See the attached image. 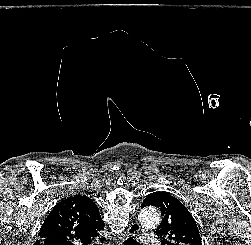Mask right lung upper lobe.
<instances>
[{
  "mask_svg": "<svg viewBox=\"0 0 251 245\" xmlns=\"http://www.w3.org/2000/svg\"><path fill=\"white\" fill-rule=\"evenodd\" d=\"M104 228L97 205L86 195L59 202L45 219L34 245H83L99 237Z\"/></svg>",
  "mask_w": 251,
  "mask_h": 245,
  "instance_id": "cb5924a9",
  "label": "right lung upper lobe"
}]
</instances>
